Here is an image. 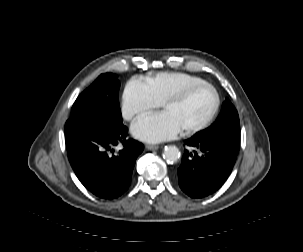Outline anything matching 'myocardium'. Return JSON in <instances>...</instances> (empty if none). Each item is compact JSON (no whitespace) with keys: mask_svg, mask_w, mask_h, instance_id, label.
<instances>
[{"mask_svg":"<svg viewBox=\"0 0 303 252\" xmlns=\"http://www.w3.org/2000/svg\"><path fill=\"white\" fill-rule=\"evenodd\" d=\"M207 89L210 90L213 95L214 105H213L212 112L204 123H202L194 128H191V129H182L181 131L184 136H192V135L197 134V133L201 132L202 130H205L206 128H208L212 124V122L214 121V119L218 113L219 106H220L219 93L213 86L208 85ZM196 91H197L196 87H193V88L189 89L188 91H186L185 93H183L182 95L169 99L162 105V107L167 108L172 105L182 104L189 96H191Z\"/></svg>","mask_w":303,"mask_h":252,"instance_id":"1","label":"myocardium"}]
</instances>
